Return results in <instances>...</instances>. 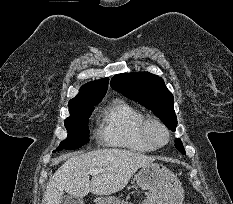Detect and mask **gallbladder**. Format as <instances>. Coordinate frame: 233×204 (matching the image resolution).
<instances>
[{
    "instance_id": "gallbladder-1",
    "label": "gallbladder",
    "mask_w": 233,
    "mask_h": 204,
    "mask_svg": "<svg viewBox=\"0 0 233 204\" xmlns=\"http://www.w3.org/2000/svg\"><path fill=\"white\" fill-rule=\"evenodd\" d=\"M59 204H83V199L72 195H65Z\"/></svg>"
}]
</instances>
